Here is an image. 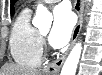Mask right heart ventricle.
Returning a JSON list of instances; mask_svg holds the SVG:
<instances>
[{
  "mask_svg": "<svg viewBox=\"0 0 102 75\" xmlns=\"http://www.w3.org/2000/svg\"><path fill=\"white\" fill-rule=\"evenodd\" d=\"M30 19L31 14L27 8L18 14L10 36V53L16 63L38 67L42 56V39Z\"/></svg>",
  "mask_w": 102,
  "mask_h": 75,
  "instance_id": "obj_1",
  "label": "right heart ventricle"
}]
</instances>
